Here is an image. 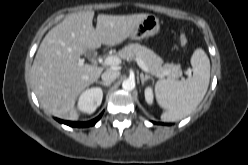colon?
Segmentation results:
<instances>
[{
	"mask_svg": "<svg viewBox=\"0 0 248 165\" xmlns=\"http://www.w3.org/2000/svg\"><path fill=\"white\" fill-rule=\"evenodd\" d=\"M179 40H180V44H181V45H183V46L186 45V43H187V38H186L185 35L182 34V35L180 36V39H179Z\"/></svg>",
	"mask_w": 248,
	"mask_h": 165,
	"instance_id": "1",
	"label": "colon"
}]
</instances>
